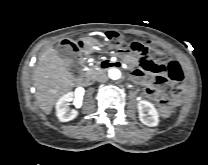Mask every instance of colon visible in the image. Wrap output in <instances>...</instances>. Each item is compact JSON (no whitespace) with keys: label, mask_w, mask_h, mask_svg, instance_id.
<instances>
[{"label":"colon","mask_w":208,"mask_h":165,"mask_svg":"<svg viewBox=\"0 0 208 165\" xmlns=\"http://www.w3.org/2000/svg\"><path fill=\"white\" fill-rule=\"evenodd\" d=\"M105 40L107 44L113 48H121L136 52L140 55L141 68L150 73H163L167 67L166 50L156 44H141L139 42L127 41L122 35L117 32L109 31L105 34ZM77 50V45L72 41H65L60 46V52L62 55L70 56ZM176 94L179 93V89H174ZM175 101L170 96L164 95L160 98L158 103L159 111L162 115H167L174 108Z\"/></svg>","instance_id":"colon-1"}]
</instances>
